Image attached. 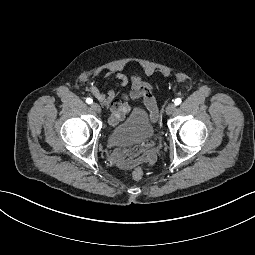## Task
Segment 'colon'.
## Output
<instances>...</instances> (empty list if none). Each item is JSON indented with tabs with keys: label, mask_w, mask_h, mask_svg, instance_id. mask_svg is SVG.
Wrapping results in <instances>:
<instances>
[{
	"label": "colon",
	"mask_w": 255,
	"mask_h": 255,
	"mask_svg": "<svg viewBox=\"0 0 255 255\" xmlns=\"http://www.w3.org/2000/svg\"><path fill=\"white\" fill-rule=\"evenodd\" d=\"M143 175V170L140 167H137L132 171V177L136 181H140L143 178Z\"/></svg>",
	"instance_id": "5ec220e1"
}]
</instances>
